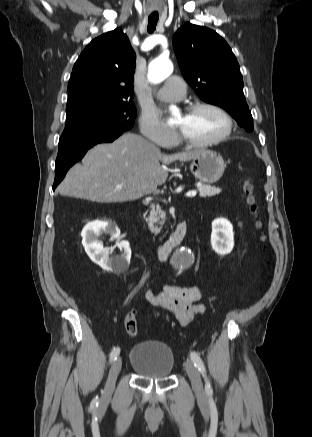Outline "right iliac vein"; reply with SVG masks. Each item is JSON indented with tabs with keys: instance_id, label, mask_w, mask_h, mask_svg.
Returning a JSON list of instances; mask_svg holds the SVG:
<instances>
[{
	"instance_id": "obj_1",
	"label": "right iliac vein",
	"mask_w": 312,
	"mask_h": 437,
	"mask_svg": "<svg viewBox=\"0 0 312 437\" xmlns=\"http://www.w3.org/2000/svg\"><path fill=\"white\" fill-rule=\"evenodd\" d=\"M121 367H122V360H121V358H117L113 362L111 369H110V372H109V376H108L107 383L105 386V392L103 395L104 401H107L108 399H110V397L114 391L115 382H116V379L120 373Z\"/></svg>"
}]
</instances>
